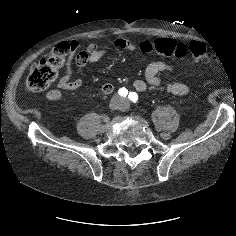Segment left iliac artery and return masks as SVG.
Listing matches in <instances>:
<instances>
[{
	"mask_svg": "<svg viewBox=\"0 0 236 236\" xmlns=\"http://www.w3.org/2000/svg\"><path fill=\"white\" fill-rule=\"evenodd\" d=\"M128 98L130 101L136 103L138 100V94L136 92H130Z\"/></svg>",
	"mask_w": 236,
	"mask_h": 236,
	"instance_id": "left-iliac-artery-1",
	"label": "left iliac artery"
}]
</instances>
